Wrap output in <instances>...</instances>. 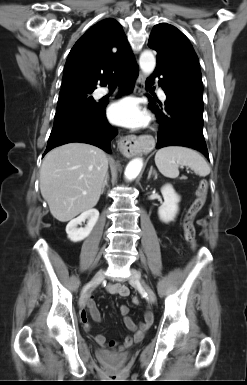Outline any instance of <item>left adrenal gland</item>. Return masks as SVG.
<instances>
[{"label": "left adrenal gland", "instance_id": "obj_1", "mask_svg": "<svg viewBox=\"0 0 247 385\" xmlns=\"http://www.w3.org/2000/svg\"><path fill=\"white\" fill-rule=\"evenodd\" d=\"M152 175L155 177V179L157 178V173H156V171L154 170L153 166L150 167V171H149V173H148V179H150V177H151Z\"/></svg>", "mask_w": 247, "mask_h": 385}]
</instances>
